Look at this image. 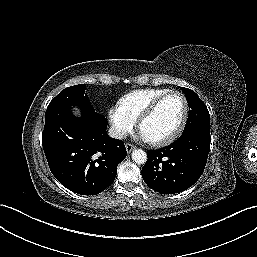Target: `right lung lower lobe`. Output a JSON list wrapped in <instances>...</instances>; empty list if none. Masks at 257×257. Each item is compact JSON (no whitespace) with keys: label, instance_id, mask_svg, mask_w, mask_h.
<instances>
[{"label":"right lung lower lobe","instance_id":"obj_1","mask_svg":"<svg viewBox=\"0 0 257 257\" xmlns=\"http://www.w3.org/2000/svg\"><path fill=\"white\" fill-rule=\"evenodd\" d=\"M48 107L42 133L43 149L55 178L80 195H96L110 186L117 165L127 152L121 140L110 138L106 118L92 106L79 105L82 117L71 106Z\"/></svg>","mask_w":257,"mask_h":257}]
</instances>
